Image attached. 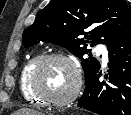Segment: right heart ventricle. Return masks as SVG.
Masks as SVG:
<instances>
[{
  "label": "right heart ventricle",
  "instance_id": "obj_1",
  "mask_svg": "<svg viewBox=\"0 0 131 115\" xmlns=\"http://www.w3.org/2000/svg\"><path fill=\"white\" fill-rule=\"evenodd\" d=\"M42 58L41 54H35L26 60L19 76V89L26 102L34 106H42L43 102L32 92L30 88V75L36 63Z\"/></svg>",
  "mask_w": 131,
  "mask_h": 115
}]
</instances>
